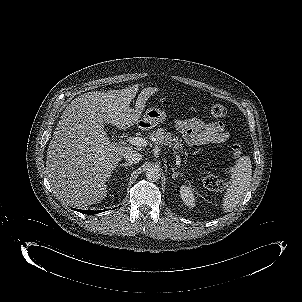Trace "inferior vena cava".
<instances>
[{
  "label": "inferior vena cava",
  "instance_id": "obj_1",
  "mask_svg": "<svg viewBox=\"0 0 302 302\" xmlns=\"http://www.w3.org/2000/svg\"><path fill=\"white\" fill-rule=\"evenodd\" d=\"M123 157L131 164H136L142 159V155L138 151L130 148L124 151Z\"/></svg>",
  "mask_w": 302,
  "mask_h": 302
}]
</instances>
